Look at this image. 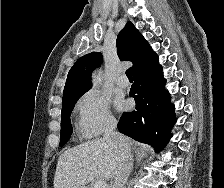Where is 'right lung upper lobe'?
I'll return each mask as SVG.
<instances>
[{
  "label": "right lung upper lobe",
  "mask_w": 224,
  "mask_h": 188,
  "mask_svg": "<svg viewBox=\"0 0 224 188\" xmlns=\"http://www.w3.org/2000/svg\"><path fill=\"white\" fill-rule=\"evenodd\" d=\"M116 46L120 60L133 62V74L146 68L158 59L157 54L131 21H128L120 31ZM101 60L102 55L98 52H92L80 57L68 73L63 97L88 91L92 87L90 81L91 73L99 66Z\"/></svg>",
  "instance_id": "cb5924a9"
}]
</instances>
